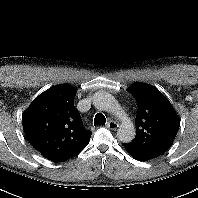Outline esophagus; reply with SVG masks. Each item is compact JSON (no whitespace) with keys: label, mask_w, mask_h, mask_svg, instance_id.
Instances as JSON below:
<instances>
[{"label":"esophagus","mask_w":198,"mask_h":198,"mask_svg":"<svg viewBox=\"0 0 198 198\" xmlns=\"http://www.w3.org/2000/svg\"><path fill=\"white\" fill-rule=\"evenodd\" d=\"M106 127H107L108 129H111V130H116V129L119 127V125H118L117 122L111 120V121H109V122L106 124Z\"/></svg>","instance_id":"1"}]
</instances>
